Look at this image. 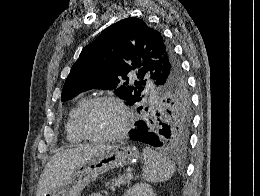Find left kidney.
Segmentation results:
<instances>
[{
  "label": "left kidney",
  "instance_id": "1",
  "mask_svg": "<svg viewBox=\"0 0 260 196\" xmlns=\"http://www.w3.org/2000/svg\"><path fill=\"white\" fill-rule=\"evenodd\" d=\"M125 196H157V194H154L151 186L144 184V182H140V184H135V186L129 188Z\"/></svg>",
  "mask_w": 260,
  "mask_h": 196
}]
</instances>
